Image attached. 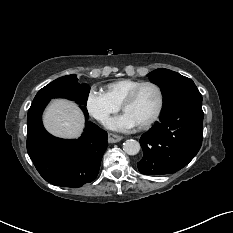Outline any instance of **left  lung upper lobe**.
Returning <instances> with one entry per match:
<instances>
[{"mask_svg": "<svg viewBox=\"0 0 233 233\" xmlns=\"http://www.w3.org/2000/svg\"><path fill=\"white\" fill-rule=\"evenodd\" d=\"M152 83L161 88L164 105L163 111L189 100H202V96L194 82L168 69H156L148 74Z\"/></svg>", "mask_w": 233, "mask_h": 233, "instance_id": "obj_1", "label": "left lung upper lobe"}]
</instances>
